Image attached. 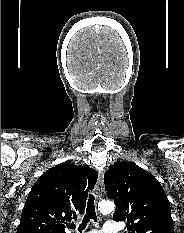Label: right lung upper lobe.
Listing matches in <instances>:
<instances>
[{
	"mask_svg": "<svg viewBox=\"0 0 184 233\" xmlns=\"http://www.w3.org/2000/svg\"><path fill=\"white\" fill-rule=\"evenodd\" d=\"M97 177L94 169L70 161L47 170L27 197L17 233H65V224L84 211Z\"/></svg>",
	"mask_w": 184,
	"mask_h": 233,
	"instance_id": "right-lung-upper-lobe-1",
	"label": "right lung upper lobe"
}]
</instances>
